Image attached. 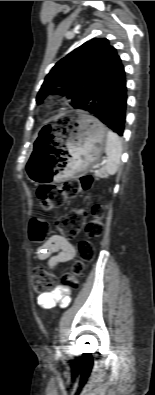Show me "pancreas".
Listing matches in <instances>:
<instances>
[{"label": "pancreas", "instance_id": "1", "mask_svg": "<svg viewBox=\"0 0 155 395\" xmlns=\"http://www.w3.org/2000/svg\"><path fill=\"white\" fill-rule=\"evenodd\" d=\"M96 179L106 177V173L104 170L96 171L95 172Z\"/></svg>", "mask_w": 155, "mask_h": 395}]
</instances>
